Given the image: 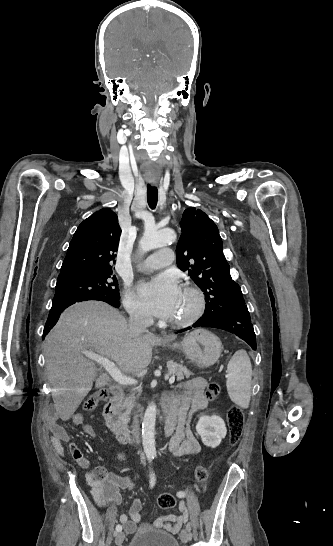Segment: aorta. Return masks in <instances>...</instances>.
<instances>
[{"instance_id":"762f6f07","label":"aorta","mask_w":333,"mask_h":546,"mask_svg":"<svg viewBox=\"0 0 333 546\" xmlns=\"http://www.w3.org/2000/svg\"><path fill=\"white\" fill-rule=\"evenodd\" d=\"M176 239L175 232L169 229L155 230L147 229L139 242L141 253H146L156 248L163 247ZM155 423L156 405L151 402L144 414L142 423V445L146 455H155Z\"/></svg>"}]
</instances>
